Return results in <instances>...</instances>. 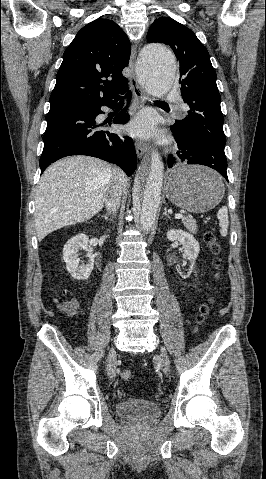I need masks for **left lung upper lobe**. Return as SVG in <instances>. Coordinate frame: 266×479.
I'll use <instances>...</instances> for the list:
<instances>
[{
	"mask_svg": "<svg viewBox=\"0 0 266 479\" xmlns=\"http://www.w3.org/2000/svg\"><path fill=\"white\" fill-rule=\"evenodd\" d=\"M147 41L168 45L179 60L181 95L190 110L185 119L176 120L173 126L200 161L226 160L221 96L206 47L189 28L169 17L153 22Z\"/></svg>",
	"mask_w": 266,
	"mask_h": 479,
	"instance_id": "left-lung-upper-lobe-1",
	"label": "left lung upper lobe"
}]
</instances>
